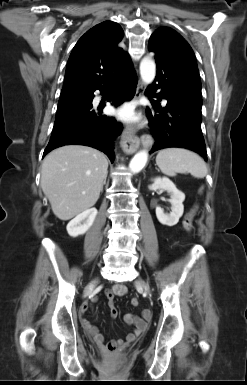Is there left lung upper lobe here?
<instances>
[{
	"mask_svg": "<svg viewBox=\"0 0 247 385\" xmlns=\"http://www.w3.org/2000/svg\"><path fill=\"white\" fill-rule=\"evenodd\" d=\"M154 44L167 58L179 67L188 78L201 88L199 71L190 45L173 29L161 27L150 37Z\"/></svg>",
	"mask_w": 247,
	"mask_h": 385,
	"instance_id": "obj_1",
	"label": "left lung upper lobe"
}]
</instances>
